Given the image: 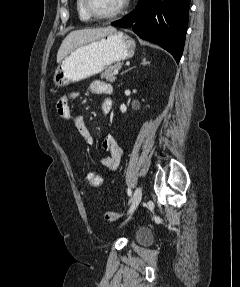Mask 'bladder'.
Masks as SVG:
<instances>
[{
    "label": "bladder",
    "mask_w": 240,
    "mask_h": 287,
    "mask_svg": "<svg viewBox=\"0 0 240 287\" xmlns=\"http://www.w3.org/2000/svg\"><path fill=\"white\" fill-rule=\"evenodd\" d=\"M136 238L138 242L148 243L150 241V233L148 230L140 228L136 231Z\"/></svg>",
    "instance_id": "obj_1"
}]
</instances>
